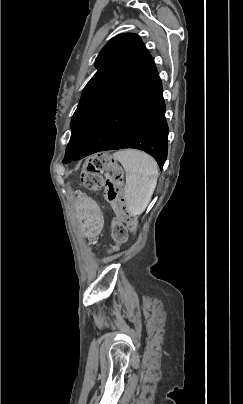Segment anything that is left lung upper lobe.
Listing matches in <instances>:
<instances>
[{
	"label": "left lung upper lobe",
	"instance_id": "1",
	"mask_svg": "<svg viewBox=\"0 0 243 404\" xmlns=\"http://www.w3.org/2000/svg\"><path fill=\"white\" fill-rule=\"evenodd\" d=\"M95 67L98 70L85 86L72 116L65 160L79 150L106 110L157 73L153 58L141 38L133 33L112 38L97 56Z\"/></svg>",
	"mask_w": 243,
	"mask_h": 404
}]
</instances>
